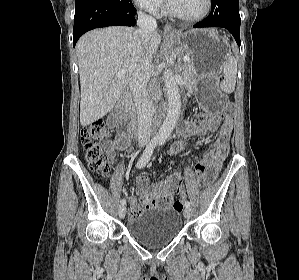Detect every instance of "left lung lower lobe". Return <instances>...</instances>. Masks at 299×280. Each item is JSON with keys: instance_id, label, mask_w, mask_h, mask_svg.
Returning <instances> with one entry per match:
<instances>
[{"instance_id": "obj_1", "label": "left lung lower lobe", "mask_w": 299, "mask_h": 280, "mask_svg": "<svg viewBox=\"0 0 299 280\" xmlns=\"http://www.w3.org/2000/svg\"><path fill=\"white\" fill-rule=\"evenodd\" d=\"M211 13L202 22L193 27H223L235 38L240 46V14L239 0H211Z\"/></svg>"}]
</instances>
